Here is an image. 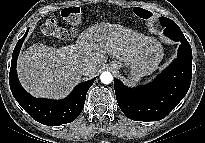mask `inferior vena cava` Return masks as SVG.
Masks as SVG:
<instances>
[{
  "mask_svg": "<svg viewBox=\"0 0 205 143\" xmlns=\"http://www.w3.org/2000/svg\"><path fill=\"white\" fill-rule=\"evenodd\" d=\"M95 72V66L91 63H85L81 66V73L84 76H92Z\"/></svg>",
  "mask_w": 205,
  "mask_h": 143,
  "instance_id": "602c4592",
  "label": "inferior vena cava"
}]
</instances>
